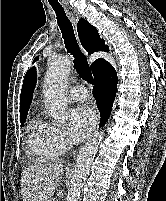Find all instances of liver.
<instances>
[{"mask_svg":"<svg viewBox=\"0 0 166 201\" xmlns=\"http://www.w3.org/2000/svg\"><path fill=\"white\" fill-rule=\"evenodd\" d=\"M63 172V162L42 161L22 171V201H52Z\"/></svg>","mask_w":166,"mask_h":201,"instance_id":"liver-1","label":"liver"}]
</instances>
